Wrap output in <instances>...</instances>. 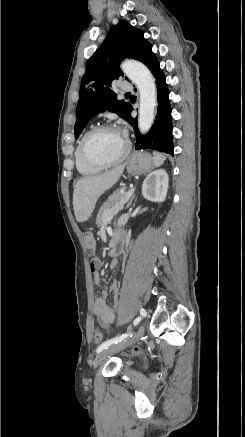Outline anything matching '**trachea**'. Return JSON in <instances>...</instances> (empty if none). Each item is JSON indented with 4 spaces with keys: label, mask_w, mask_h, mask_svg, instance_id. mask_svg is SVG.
Wrapping results in <instances>:
<instances>
[{
    "label": "trachea",
    "mask_w": 245,
    "mask_h": 437,
    "mask_svg": "<svg viewBox=\"0 0 245 437\" xmlns=\"http://www.w3.org/2000/svg\"><path fill=\"white\" fill-rule=\"evenodd\" d=\"M125 95H130V93H126Z\"/></svg>",
    "instance_id": "obj_1"
}]
</instances>
